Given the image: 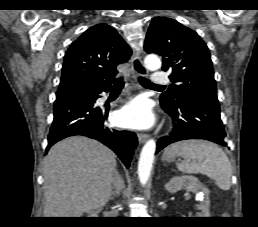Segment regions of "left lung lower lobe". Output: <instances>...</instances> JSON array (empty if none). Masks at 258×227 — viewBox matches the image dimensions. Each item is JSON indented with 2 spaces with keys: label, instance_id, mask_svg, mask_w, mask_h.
<instances>
[{
  "label": "left lung lower lobe",
  "instance_id": "0a47b994",
  "mask_svg": "<svg viewBox=\"0 0 258 227\" xmlns=\"http://www.w3.org/2000/svg\"><path fill=\"white\" fill-rule=\"evenodd\" d=\"M161 105L172 117L174 129L169 136L159 139L156 153L171 143L185 139H206L227 146L216 96L192 94L175 105L162 102Z\"/></svg>",
  "mask_w": 258,
  "mask_h": 227
}]
</instances>
